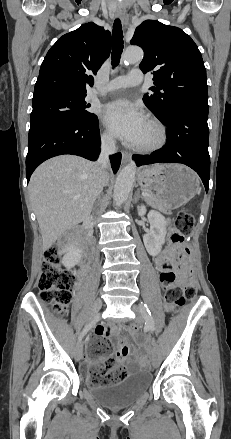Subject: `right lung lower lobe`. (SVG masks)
Returning <instances> with one entry per match:
<instances>
[{
  "mask_svg": "<svg viewBox=\"0 0 231 439\" xmlns=\"http://www.w3.org/2000/svg\"><path fill=\"white\" fill-rule=\"evenodd\" d=\"M99 121L94 119L60 118L30 128L26 177L45 160L62 154H73L95 161L100 153ZM113 172L121 163V153L110 156Z\"/></svg>",
  "mask_w": 231,
  "mask_h": 439,
  "instance_id": "obj_1",
  "label": "right lung lower lobe"
}]
</instances>
